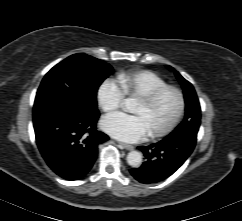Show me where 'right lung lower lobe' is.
Segmentation results:
<instances>
[{"mask_svg":"<svg viewBox=\"0 0 242 221\" xmlns=\"http://www.w3.org/2000/svg\"><path fill=\"white\" fill-rule=\"evenodd\" d=\"M98 117L99 112L82 116L59 109L33 114L38 148L57 175L73 181L92 168L98 146L108 140L96 129Z\"/></svg>","mask_w":242,"mask_h":221,"instance_id":"right-lung-lower-lobe-1","label":"right lung lower lobe"}]
</instances>
